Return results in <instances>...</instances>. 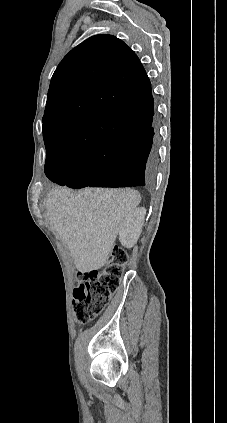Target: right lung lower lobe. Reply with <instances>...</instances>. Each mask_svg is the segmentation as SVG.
Segmentation results:
<instances>
[{
    "label": "right lung lower lobe",
    "mask_w": 227,
    "mask_h": 423,
    "mask_svg": "<svg viewBox=\"0 0 227 423\" xmlns=\"http://www.w3.org/2000/svg\"><path fill=\"white\" fill-rule=\"evenodd\" d=\"M110 119L130 121L131 129L104 141L74 161L45 163V174L54 183L74 189L84 187H145L153 185L158 167V129L153 123L154 99L100 108Z\"/></svg>",
    "instance_id": "98d812e1"
}]
</instances>
